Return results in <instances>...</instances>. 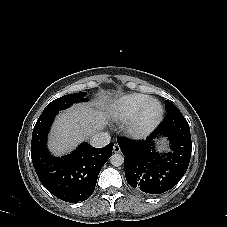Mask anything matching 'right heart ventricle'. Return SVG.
Returning <instances> with one entry per match:
<instances>
[{
  "mask_svg": "<svg viewBox=\"0 0 227 227\" xmlns=\"http://www.w3.org/2000/svg\"><path fill=\"white\" fill-rule=\"evenodd\" d=\"M150 98L143 94L123 96L112 103L110 115L113 119L126 121L134 117Z\"/></svg>",
  "mask_w": 227,
  "mask_h": 227,
  "instance_id": "e07e8e85",
  "label": "right heart ventricle"
}]
</instances>
